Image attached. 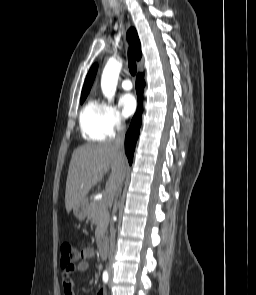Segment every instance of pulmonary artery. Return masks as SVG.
<instances>
[{
    "label": "pulmonary artery",
    "mask_w": 256,
    "mask_h": 295,
    "mask_svg": "<svg viewBox=\"0 0 256 295\" xmlns=\"http://www.w3.org/2000/svg\"><path fill=\"white\" fill-rule=\"evenodd\" d=\"M121 86L124 90L129 91L132 89L133 85L130 79L126 78L124 80H122L121 82Z\"/></svg>",
    "instance_id": "obj_1"
}]
</instances>
